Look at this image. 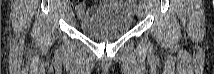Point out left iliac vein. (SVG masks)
I'll list each match as a JSON object with an SVG mask.
<instances>
[{"label":"left iliac vein","instance_id":"1","mask_svg":"<svg viewBox=\"0 0 214 74\" xmlns=\"http://www.w3.org/2000/svg\"><path fill=\"white\" fill-rule=\"evenodd\" d=\"M136 15L138 18H142L144 15L143 8H137L136 9Z\"/></svg>","mask_w":214,"mask_h":74}]
</instances>
